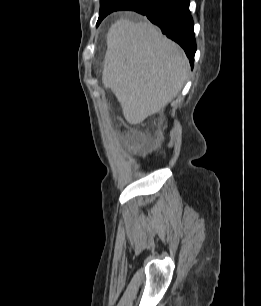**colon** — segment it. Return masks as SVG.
I'll list each match as a JSON object with an SVG mask.
<instances>
[{
  "mask_svg": "<svg viewBox=\"0 0 261 306\" xmlns=\"http://www.w3.org/2000/svg\"><path fill=\"white\" fill-rule=\"evenodd\" d=\"M131 143H132L133 145H136V144L138 143V141L132 140Z\"/></svg>",
  "mask_w": 261,
  "mask_h": 306,
  "instance_id": "obj_1",
  "label": "colon"
}]
</instances>
